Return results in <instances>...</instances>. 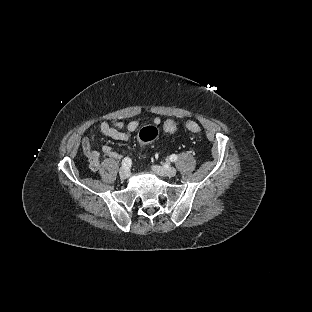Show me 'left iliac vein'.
I'll list each match as a JSON object with an SVG mask.
<instances>
[{"label":"left iliac vein","instance_id":"1","mask_svg":"<svg viewBox=\"0 0 312 312\" xmlns=\"http://www.w3.org/2000/svg\"><path fill=\"white\" fill-rule=\"evenodd\" d=\"M153 171L159 175V176H168L173 177L176 175L177 170L174 167H160V166H154Z\"/></svg>","mask_w":312,"mask_h":312}]
</instances>
